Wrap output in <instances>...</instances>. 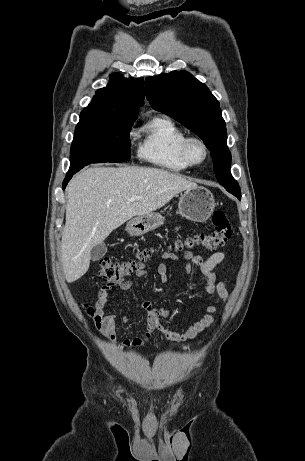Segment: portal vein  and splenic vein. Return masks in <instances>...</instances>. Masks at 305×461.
<instances>
[{
	"instance_id": "1",
	"label": "portal vein and splenic vein",
	"mask_w": 305,
	"mask_h": 461,
	"mask_svg": "<svg viewBox=\"0 0 305 461\" xmlns=\"http://www.w3.org/2000/svg\"><path fill=\"white\" fill-rule=\"evenodd\" d=\"M141 198H142L141 196L134 195L129 199V201L134 202V201H136L138 199H141Z\"/></svg>"
}]
</instances>
